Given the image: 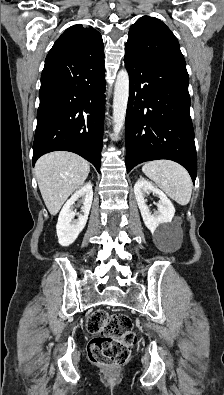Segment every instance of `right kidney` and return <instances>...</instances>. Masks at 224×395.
Here are the masks:
<instances>
[{
    "label": "right kidney",
    "instance_id": "1",
    "mask_svg": "<svg viewBox=\"0 0 224 395\" xmlns=\"http://www.w3.org/2000/svg\"><path fill=\"white\" fill-rule=\"evenodd\" d=\"M82 199L83 207L78 219L74 220L76 213L73 211L77 200ZM93 200V190L91 182L85 184L77 190L63 206L56 225L58 242L61 246L72 244L84 229Z\"/></svg>",
    "mask_w": 224,
    "mask_h": 395
}]
</instances>
